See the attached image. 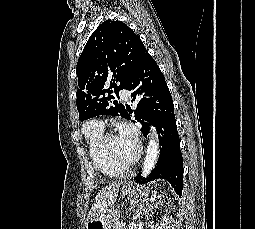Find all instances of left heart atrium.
<instances>
[{
	"mask_svg": "<svg viewBox=\"0 0 255 229\" xmlns=\"http://www.w3.org/2000/svg\"><path fill=\"white\" fill-rule=\"evenodd\" d=\"M118 137L128 146L138 148V135L134 127L131 125H123L120 129Z\"/></svg>",
	"mask_w": 255,
	"mask_h": 229,
	"instance_id": "obj_1",
	"label": "left heart atrium"
}]
</instances>
